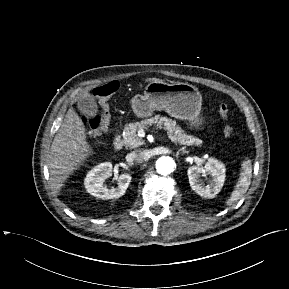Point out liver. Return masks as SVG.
Instances as JSON below:
<instances>
[{
	"mask_svg": "<svg viewBox=\"0 0 289 289\" xmlns=\"http://www.w3.org/2000/svg\"><path fill=\"white\" fill-rule=\"evenodd\" d=\"M147 81L163 82L157 78H150ZM50 151L48 168L51 187L58 192L69 175L91 154V148L86 140L84 123L73 108L67 111L64 121L54 137Z\"/></svg>",
	"mask_w": 289,
	"mask_h": 289,
	"instance_id": "1",
	"label": "liver"
}]
</instances>
